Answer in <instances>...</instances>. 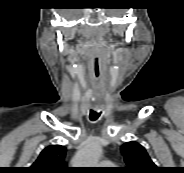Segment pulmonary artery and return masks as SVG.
<instances>
[{"label": "pulmonary artery", "mask_w": 184, "mask_h": 173, "mask_svg": "<svg viewBox=\"0 0 184 173\" xmlns=\"http://www.w3.org/2000/svg\"><path fill=\"white\" fill-rule=\"evenodd\" d=\"M103 164L106 165V166H110V165L112 164V162H110V161H105V162H103Z\"/></svg>", "instance_id": "e3ab8cb5"}]
</instances>
